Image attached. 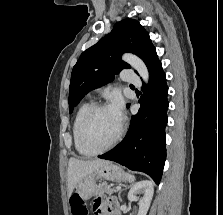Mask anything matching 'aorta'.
<instances>
[{"label":"aorta","mask_w":223,"mask_h":215,"mask_svg":"<svg viewBox=\"0 0 223 215\" xmlns=\"http://www.w3.org/2000/svg\"><path fill=\"white\" fill-rule=\"evenodd\" d=\"M124 62L130 64L134 70H137L138 74H140L141 78H143L144 82H148L149 80V72L142 60L138 58V56H134V54H124L123 56Z\"/></svg>","instance_id":"1"}]
</instances>
